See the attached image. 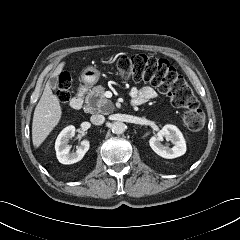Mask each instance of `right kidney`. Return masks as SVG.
Instances as JSON below:
<instances>
[{"label": "right kidney", "instance_id": "right-kidney-1", "mask_svg": "<svg viewBox=\"0 0 240 240\" xmlns=\"http://www.w3.org/2000/svg\"><path fill=\"white\" fill-rule=\"evenodd\" d=\"M75 135V127L68 126L64 128L58 135L55 142L56 156L60 163L62 164H73L80 161L85 153L89 150L90 143L88 140L81 141L80 145L77 147L76 152L70 153V146L68 141Z\"/></svg>", "mask_w": 240, "mask_h": 240}]
</instances>
